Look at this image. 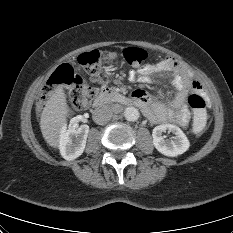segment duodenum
<instances>
[{"label": "duodenum", "instance_id": "obj_1", "mask_svg": "<svg viewBox=\"0 0 233 233\" xmlns=\"http://www.w3.org/2000/svg\"><path fill=\"white\" fill-rule=\"evenodd\" d=\"M120 103V104H124V105H131L132 101L128 98H126L125 96L121 95L120 93H118L117 91H115L112 88H103L102 90H100V92L98 93L95 101H94V105L96 107H100L106 103Z\"/></svg>", "mask_w": 233, "mask_h": 233}]
</instances>
